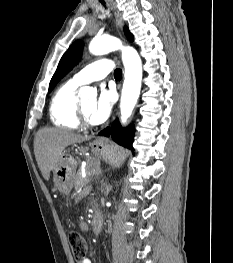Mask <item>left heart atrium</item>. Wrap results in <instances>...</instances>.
Instances as JSON below:
<instances>
[{"label":"left heart atrium","mask_w":233,"mask_h":263,"mask_svg":"<svg viewBox=\"0 0 233 263\" xmlns=\"http://www.w3.org/2000/svg\"><path fill=\"white\" fill-rule=\"evenodd\" d=\"M114 104V91L102 87L98 99L90 113L89 120L92 124L103 123L110 115Z\"/></svg>","instance_id":"39dd6f15"}]
</instances>
